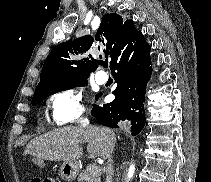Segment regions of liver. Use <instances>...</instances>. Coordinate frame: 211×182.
I'll list each match as a JSON object with an SVG mask.
<instances>
[{
  "label": "liver",
  "instance_id": "6515ba94",
  "mask_svg": "<svg viewBox=\"0 0 211 182\" xmlns=\"http://www.w3.org/2000/svg\"><path fill=\"white\" fill-rule=\"evenodd\" d=\"M115 142L114 132L107 128L63 127L32 139L24 154L39 160L74 162L83 155L82 143L88 144L89 156L95 158L103 157L107 150L113 151Z\"/></svg>",
  "mask_w": 211,
  "mask_h": 182
}]
</instances>
